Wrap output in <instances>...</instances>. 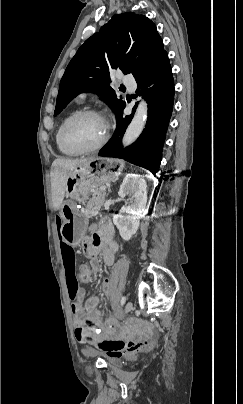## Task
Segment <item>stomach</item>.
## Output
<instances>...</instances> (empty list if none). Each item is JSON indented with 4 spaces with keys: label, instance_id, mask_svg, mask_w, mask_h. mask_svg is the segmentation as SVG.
<instances>
[{
    "label": "stomach",
    "instance_id": "1",
    "mask_svg": "<svg viewBox=\"0 0 243 404\" xmlns=\"http://www.w3.org/2000/svg\"><path fill=\"white\" fill-rule=\"evenodd\" d=\"M124 167L125 163L121 160L94 157L68 172L66 196L70 200L61 207L63 219L61 235L66 244L78 245L88 224L87 216L77 208L76 202L86 201L91 189L116 180Z\"/></svg>",
    "mask_w": 243,
    "mask_h": 404
}]
</instances>
